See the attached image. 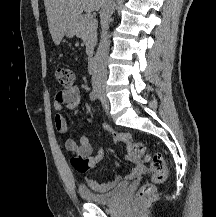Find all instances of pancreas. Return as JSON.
<instances>
[{
    "mask_svg": "<svg viewBox=\"0 0 216 217\" xmlns=\"http://www.w3.org/2000/svg\"><path fill=\"white\" fill-rule=\"evenodd\" d=\"M97 22L88 20L87 16L82 15L76 21V36L80 37L86 45V54L91 57L97 41Z\"/></svg>",
    "mask_w": 216,
    "mask_h": 217,
    "instance_id": "cf45deb5",
    "label": "pancreas"
}]
</instances>
